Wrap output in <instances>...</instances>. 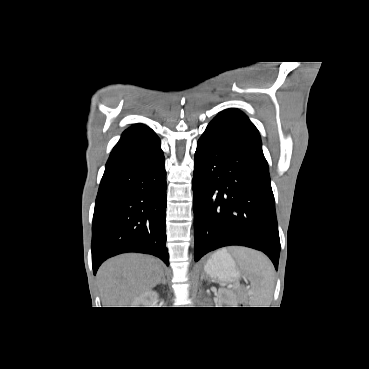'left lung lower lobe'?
I'll use <instances>...</instances> for the list:
<instances>
[{
    "label": "left lung lower lobe",
    "mask_w": 369,
    "mask_h": 369,
    "mask_svg": "<svg viewBox=\"0 0 369 369\" xmlns=\"http://www.w3.org/2000/svg\"><path fill=\"white\" fill-rule=\"evenodd\" d=\"M195 261L220 247L264 252L278 269L280 239L258 130L237 109L219 113L197 143L193 173Z\"/></svg>",
    "instance_id": "left-lung-lower-lobe-1"
}]
</instances>
